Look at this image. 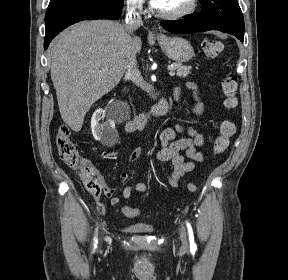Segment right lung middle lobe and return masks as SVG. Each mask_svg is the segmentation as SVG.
<instances>
[{"instance_id":"obj_1","label":"right lung middle lobe","mask_w":288,"mask_h":280,"mask_svg":"<svg viewBox=\"0 0 288 280\" xmlns=\"http://www.w3.org/2000/svg\"><path fill=\"white\" fill-rule=\"evenodd\" d=\"M59 1H61V0H50L49 5H52V4L57 3ZM102 1H105L107 3H110V4L118 6V7H123V0H102Z\"/></svg>"}]
</instances>
